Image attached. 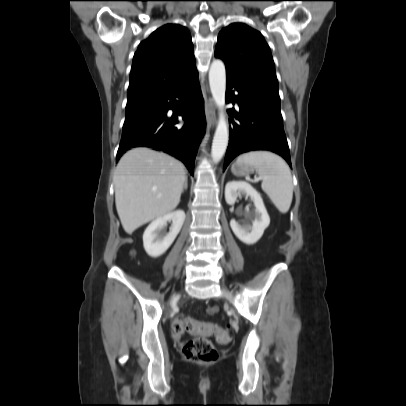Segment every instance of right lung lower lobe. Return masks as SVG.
<instances>
[{"mask_svg": "<svg viewBox=\"0 0 406 406\" xmlns=\"http://www.w3.org/2000/svg\"><path fill=\"white\" fill-rule=\"evenodd\" d=\"M154 100L153 117L123 129L117 159L131 148L148 147L182 161L193 175L197 148L206 125L198 74ZM170 109L172 115L168 113ZM177 115L185 121L182 126H176Z\"/></svg>", "mask_w": 406, "mask_h": 406, "instance_id": "98d812e1", "label": "right lung lower lobe"}]
</instances>
